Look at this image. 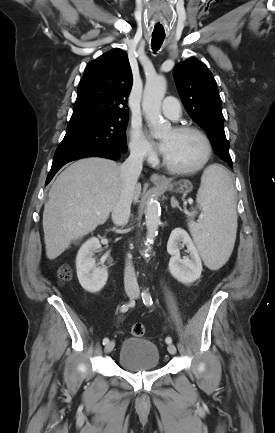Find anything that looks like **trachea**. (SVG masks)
Listing matches in <instances>:
<instances>
[{
  "label": "trachea",
  "instance_id": "3493384b",
  "mask_svg": "<svg viewBox=\"0 0 275 433\" xmlns=\"http://www.w3.org/2000/svg\"><path fill=\"white\" fill-rule=\"evenodd\" d=\"M165 36L162 35H152V49L153 51H158L159 48L161 47L163 40H164Z\"/></svg>",
  "mask_w": 275,
  "mask_h": 433
}]
</instances>
